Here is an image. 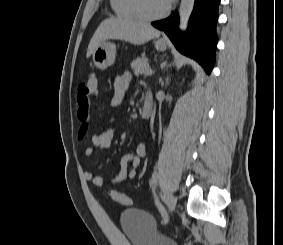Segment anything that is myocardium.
<instances>
[{"mask_svg":"<svg viewBox=\"0 0 283 245\" xmlns=\"http://www.w3.org/2000/svg\"><path fill=\"white\" fill-rule=\"evenodd\" d=\"M172 3L173 0H170L162 12L154 15L147 14L144 11V9L142 8V0H133V7L140 19L145 21H155V20H160L168 15V13L171 10Z\"/></svg>","mask_w":283,"mask_h":245,"instance_id":"f54148a6","label":"myocardium"}]
</instances>
